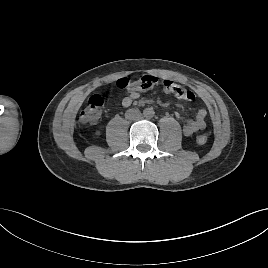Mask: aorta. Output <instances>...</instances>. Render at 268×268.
<instances>
[{"mask_svg": "<svg viewBox=\"0 0 268 268\" xmlns=\"http://www.w3.org/2000/svg\"><path fill=\"white\" fill-rule=\"evenodd\" d=\"M154 114H155V112H154L153 108H146L143 111V115L147 119L152 118L154 116Z\"/></svg>", "mask_w": 268, "mask_h": 268, "instance_id": "obj_1", "label": "aorta"}]
</instances>
